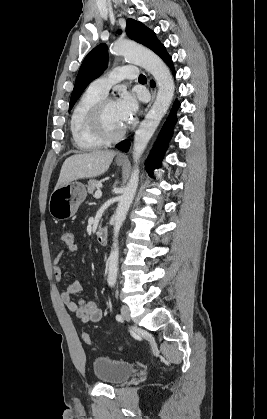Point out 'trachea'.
I'll list each match as a JSON object with an SVG mask.
<instances>
[{"label": "trachea", "instance_id": "obj_1", "mask_svg": "<svg viewBox=\"0 0 267 419\" xmlns=\"http://www.w3.org/2000/svg\"><path fill=\"white\" fill-rule=\"evenodd\" d=\"M143 80H146V77H145L144 75H142V74H141V75L139 76V81H143Z\"/></svg>", "mask_w": 267, "mask_h": 419}]
</instances>
